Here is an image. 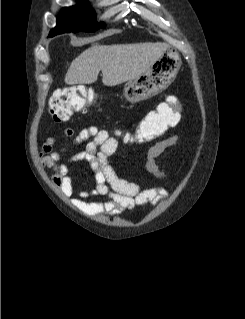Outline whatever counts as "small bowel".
I'll return each instance as SVG.
<instances>
[{
  "label": "small bowel",
  "mask_w": 245,
  "mask_h": 319,
  "mask_svg": "<svg viewBox=\"0 0 245 319\" xmlns=\"http://www.w3.org/2000/svg\"><path fill=\"white\" fill-rule=\"evenodd\" d=\"M171 98L175 97H169L158 107L168 104ZM64 137L71 139L74 146L86 143V147L63 160L66 149L55 150L57 140L50 137L43 143L40 162L44 167L53 171L52 182L66 196L74 193L69 164L75 162L88 164L95 178V186L91 193L83 190L77 191L78 197L72 201L79 210L92 215L115 216L135 207L147 204L157 205L167 196V191L162 187L142 189L136 182L126 180L116 173L108 159L117 151L119 142L107 130L89 126L76 133L72 128H67L64 130ZM177 142L178 137L173 135L149 147L145 164L148 171L156 178L166 177V173L157 163V158L165 150L175 146ZM91 195L104 196L106 200L86 201L85 199Z\"/></svg>",
  "instance_id": "obj_1"
}]
</instances>
